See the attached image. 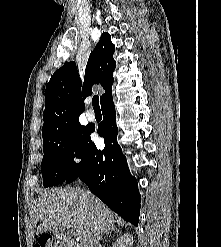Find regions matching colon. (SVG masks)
<instances>
[{
  "instance_id": "colon-1",
  "label": "colon",
  "mask_w": 221,
  "mask_h": 247,
  "mask_svg": "<svg viewBox=\"0 0 221 247\" xmlns=\"http://www.w3.org/2000/svg\"><path fill=\"white\" fill-rule=\"evenodd\" d=\"M35 247H61L59 243L54 242L51 238H45L35 245Z\"/></svg>"
}]
</instances>
